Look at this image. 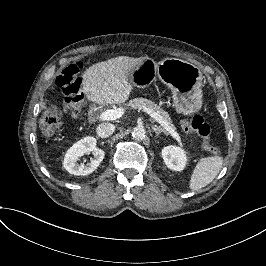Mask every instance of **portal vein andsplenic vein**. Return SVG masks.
Wrapping results in <instances>:
<instances>
[{
	"mask_svg": "<svg viewBox=\"0 0 266 266\" xmlns=\"http://www.w3.org/2000/svg\"><path fill=\"white\" fill-rule=\"evenodd\" d=\"M148 113L153 118H155L157 120V122L164 129H166V131L172 136V138H174V140H176L179 144H182L181 136L178 134V132L175 129H173L170 122L165 121L163 118H161L160 116H158L154 112H148ZM122 114H123V111L119 110V109L106 110V111H103L102 113L99 114L98 119L100 121H112V120L119 119L122 116Z\"/></svg>",
	"mask_w": 266,
	"mask_h": 266,
	"instance_id": "portal-vein-and-splenic-vein-1",
	"label": "portal vein and splenic vein"
}]
</instances>
